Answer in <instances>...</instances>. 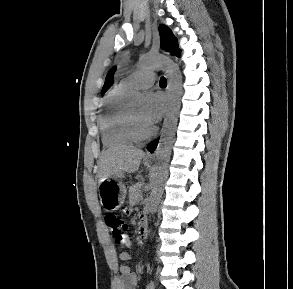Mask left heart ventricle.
Returning <instances> with one entry per match:
<instances>
[{"label":"left heart ventricle","instance_id":"left-heart-ventricle-1","mask_svg":"<svg viewBox=\"0 0 293 289\" xmlns=\"http://www.w3.org/2000/svg\"><path fill=\"white\" fill-rule=\"evenodd\" d=\"M133 118L135 119L137 126L142 133H147L151 127L148 126L143 120V108L142 106H135L130 109Z\"/></svg>","mask_w":293,"mask_h":289}]
</instances>
